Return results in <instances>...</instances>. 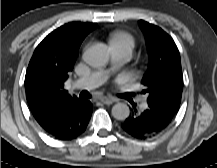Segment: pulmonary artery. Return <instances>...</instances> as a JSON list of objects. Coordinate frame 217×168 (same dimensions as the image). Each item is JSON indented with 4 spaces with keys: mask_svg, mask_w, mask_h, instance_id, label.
<instances>
[{
    "mask_svg": "<svg viewBox=\"0 0 217 168\" xmlns=\"http://www.w3.org/2000/svg\"><path fill=\"white\" fill-rule=\"evenodd\" d=\"M110 57L111 65L107 69H99L91 72L89 75L80 78L76 82L77 87L94 88L108 80L111 72L124 65L130 58V51L121 45H110ZM145 103L141 104V107H145Z\"/></svg>",
    "mask_w": 217,
    "mask_h": 168,
    "instance_id": "pulmonary-artery-1",
    "label": "pulmonary artery"
}]
</instances>
